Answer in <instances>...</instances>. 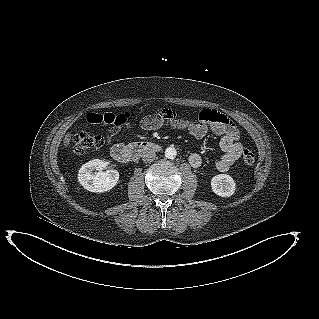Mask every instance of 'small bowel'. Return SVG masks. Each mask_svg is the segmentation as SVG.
Wrapping results in <instances>:
<instances>
[{
	"instance_id": "c3829d8e",
	"label": "small bowel",
	"mask_w": 319,
	"mask_h": 319,
	"mask_svg": "<svg viewBox=\"0 0 319 319\" xmlns=\"http://www.w3.org/2000/svg\"><path fill=\"white\" fill-rule=\"evenodd\" d=\"M86 121L91 124L104 122L103 115L96 113L87 114ZM165 124L186 130L198 140L204 138L209 132L217 135L223 155L216 162V168L221 172L228 171L241 157L243 145L240 142L237 126L226 115L216 110L204 109L200 112L198 119L187 120L180 118L177 111L172 108H161L141 121V127L145 130H156ZM118 137L119 129L114 128L109 131L107 139L112 142ZM188 161L193 168H199L203 163V157L199 153H193Z\"/></svg>"
}]
</instances>
